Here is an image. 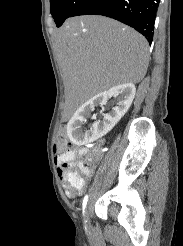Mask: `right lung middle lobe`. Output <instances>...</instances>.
<instances>
[{"instance_id":"obj_1","label":"right lung middle lobe","mask_w":183,"mask_h":246,"mask_svg":"<svg viewBox=\"0 0 183 246\" xmlns=\"http://www.w3.org/2000/svg\"><path fill=\"white\" fill-rule=\"evenodd\" d=\"M79 0H50V11L56 25H62Z\"/></svg>"}]
</instances>
